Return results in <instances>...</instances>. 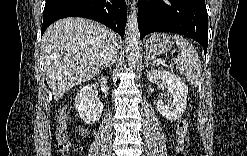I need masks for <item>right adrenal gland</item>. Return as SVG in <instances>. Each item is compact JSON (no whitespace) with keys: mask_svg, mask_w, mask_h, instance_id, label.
<instances>
[{"mask_svg":"<svg viewBox=\"0 0 247 156\" xmlns=\"http://www.w3.org/2000/svg\"><path fill=\"white\" fill-rule=\"evenodd\" d=\"M104 67H106V68H108V67L111 68V64L105 63V64H104ZM101 69H103V67H102Z\"/></svg>","mask_w":247,"mask_h":156,"instance_id":"obj_1","label":"right adrenal gland"}]
</instances>
